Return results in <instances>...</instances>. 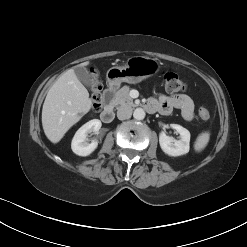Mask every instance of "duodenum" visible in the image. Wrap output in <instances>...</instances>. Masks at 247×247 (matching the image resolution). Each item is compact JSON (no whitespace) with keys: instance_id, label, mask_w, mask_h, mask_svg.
Here are the masks:
<instances>
[{"instance_id":"duodenum-1","label":"duodenum","mask_w":247,"mask_h":247,"mask_svg":"<svg viewBox=\"0 0 247 247\" xmlns=\"http://www.w3.org/2000/svg\"><path fill=\"white\" fill-rule=\"evenodd\" d=\"M114 90L115 85L113 83H109L102 96L103 109L101 111V119L104 123H110L114 119V108L112 104Z\"/></svg>"}]
</instances>
